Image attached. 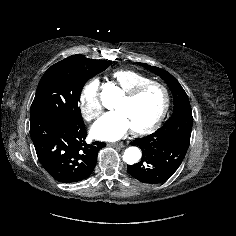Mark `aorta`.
<instances>
[{
  "mask_svg": "<svg viewBox=\"0 0 236 236\" xmlns=\"http://www.w3.org/2000/svg\"><path fill=\"white\" fill-rule=\"evenodd\" d=\"M119 94V89L115 86H110L108 88H105L101 93V100L104 105H106V101L108 99H113ZM141 158V151L137 147H129L125 150L123 154V160L127 164H135L137 163Z\"/></svg>",
  "mask_w": 236,
  "mask_h": 236,
  "instance_id": "1",
  "label": "aorta"
}]
</instances>
